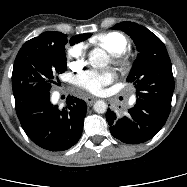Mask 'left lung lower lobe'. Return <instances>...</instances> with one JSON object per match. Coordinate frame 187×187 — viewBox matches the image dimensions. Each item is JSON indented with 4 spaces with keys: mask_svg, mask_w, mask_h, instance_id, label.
<instances>
[{
    "mask_svg": "<svg viewBox=\"0 0 187 187\" xmlns=\"http://www.w3.org/2000/svg\"><path fill=\"white\" fill-rule=\"evenodd\" d=\"M170 108L157 102L137 98L136 104L128 110L126 116L118 118L108 109L106 120L115 138L127 144H139L153 138L160 131L169 116Z\"/></svg>",
    "mask_w": 187,
    "mask_h": 187,
    "instance_id": "1",
    "label": "left lung lower lobe"
}]
</instances>
